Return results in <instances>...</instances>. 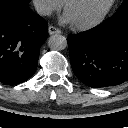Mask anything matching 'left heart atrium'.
Segmentation results:
<instances>
[{
  "instance_id": "obj_1",
  "label": "left heart atrium",
  "mask_w": 128,
  "mask_h": 128,
  "mask_svg": "<svg viewBox=\"0 0 128 128\" xmlns=\"http://www.w3.org/2000/svg\"><path fill=\"white\" fill-rule=\"evenodd\" d=\"M61 22L64 23V24H71V23H73L72 19L70 18V16L67 13H65L62 16Z\"/></svg>"
}]
</instances>
